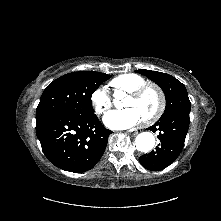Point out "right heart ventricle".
I'll return each instance as SVG.
<instances>
[{
    "label": "right heart ventricle",
    "instance_id": "right-heart-ventricle-1",
    "mask_svg": "<svg viewBox=\"0 0 221 221\" xmlns=\"http://www.w3.org/2000/svg\"><path fill=\"white\" fill-rule=\"evenodd\" d=\"M146 83H147L146 79L143 78L142 76L134 73H127L119 75L114 79H112L109 83V86L114 91H123L129 93Z\"/></svg>",
    "mask_w": 221,
    "mask_h": 221
}]
</instances>
